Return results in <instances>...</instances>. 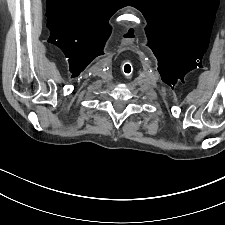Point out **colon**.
Returning <instances> with one entry per match:
<instances>
[{"label": "colon", "instance_id": "obj_1", "mask_svg": "<svg viewBox=\"0 0 225 225\" xmlns=\"http://www.w3.org/2000/svg\"><path fill=\"white\" fill-rule=\"evenodd\" d=\"M124 67H125V70H126V74L128 75V74H130L131 73V65H130V63L129 62H126L125 64H124Z\"/></svg>", "mask_w": 225, "mask_h": 225}]
</instances>
